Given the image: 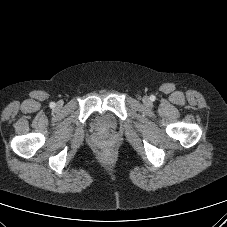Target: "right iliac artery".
<instances>
[{"label":"right iliac artery","instance_id":"right-iliac-artery-1","mask_svg":"<svg viewBox=\"0 0 227 227\" xmlns=\"http://www.w3.org/2000/svg\"><path fill=\"white\" fill-rule=\"evenodd\" d=\"M55 106V103L54 102H51L50 103V107L53 108Z\"/></svg>","mask_w":227,"mask_h":227}]
</instances>
